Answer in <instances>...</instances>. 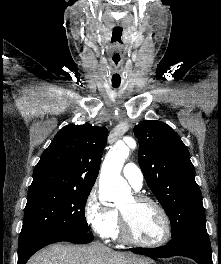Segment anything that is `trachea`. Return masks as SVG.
<instances>
[{
    "label": "trachea",
    "mask_w": 221,
    "mask_h": 264,
    "mask_svg": "<svg viewBox=\"0 0 221 264\" xmlns=\"http://www.w3.org/2000/svg\"><path fill=\"white\" fill-rule=\"evenodd\" d=\"M114 88H118L119 86L118 85H113Z\"/></svg>",
    "instance_id": "trachea-1"
}]
</instances>
